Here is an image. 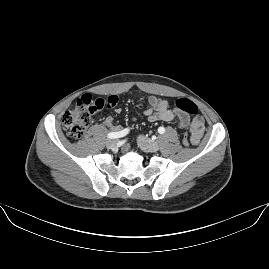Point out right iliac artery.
<instances>
[{"mask_svg":"<svg viewBox=\"0 0 269 269\" xmlns=\"http://www.w3.org/2000/svg\"><path fill=\"white\" fill-rule=\"evenodd\" d=\"M128 133V129H124L120 132H110L108 133L107 137L110 138V139H113V138H119V137H122L123 135L127 134Z\"/></svg>","mask_w":269,"mask_h":269,"instance_id":"1","label":"right iliac artery"}]
</instances>
